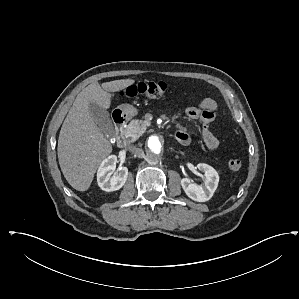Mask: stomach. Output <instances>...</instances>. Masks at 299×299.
Masks as SVG:
<instances>
[{
	"label": "stomach",
	"mask_w": 299,
	"mask_h": 299,
	"mask_svg": "<svg viewBox=\"0 0 299 299\" xmlns=\"http://www.w3.org/2000/svg\"><path fill=\"white\" fill-rule=\"evenodd\" d=\"M118 109L125 116L126 119H131L138 114V110L131 104H122Z\"/></svg>",
	"instance_id": "obj_1"
}]
</instances>
